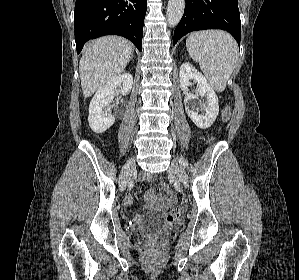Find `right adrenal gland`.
<instances>
[{"label":"right adrenal gland","mask_w":299,"mask_h":280,"mask_svg":"<svg viewBox=\"0 0 299 280\" xmlns=\"http://www.w3.org/2000/svg\"><path fill=\"white\" fill-rule=\"evenodd\" d=\"M130 59H131V60L133 59V53H132V55H131Z\"/></svg>","instance_id":"right-adrenal-gland-1"}]
</instances>
